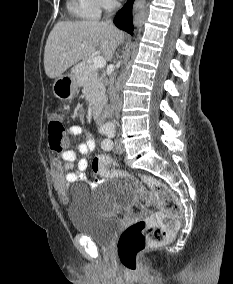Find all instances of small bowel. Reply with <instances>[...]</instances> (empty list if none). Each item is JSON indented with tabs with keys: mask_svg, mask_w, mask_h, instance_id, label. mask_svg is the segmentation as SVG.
<instances>
[{
	"mask_svg": "<svg viewBox=\"0 0 233 284\" xmlns=\"http://www.w3.org/2000/svg\"><path fill=\"white\" fill-rule=\"evenodd\" d=\"M69 134L82 139V142L78 145V151L81 155L86 156L95 149L94 139L81 126H71ZM60 158L53 160L51 171L54 186L59 191H64L67 185L83 179L84 172L87 170L89 163L85 157L76 161V153L72 150L63 151ZM103 180L101 178L98 182L93 183V185Z\"/></svg>",
	"mask_w": 233,
	"mask_h": 284,
	"instance_id": "1",
	"label": "small bowel"
}]
</instances>
